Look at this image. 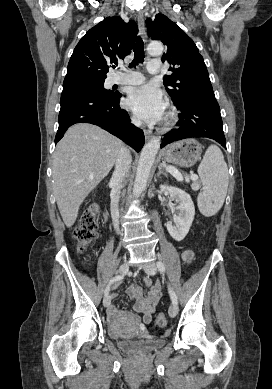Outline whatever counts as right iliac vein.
<instances>
[{"mask_svg":"<svg viewBox=\"0 0 272 389\" xmlns=\"http://www.w3.org/2000/svg\"><path fill=\"white\" fill-rule=\"evenodd\" d=\"M128 270H129V265H128L127 262H125V263H123V264L119 267V269H118V274H119L120 276H124V275L128 272ZM103 305H104L105 307H108V306L110 305V297H109L108 295L104 297V299H103Z\"/></svg>","mask_w":272,"mask_h":389,"instance_id":"obj_1","label":"right iliac vein"}]
</instances>
